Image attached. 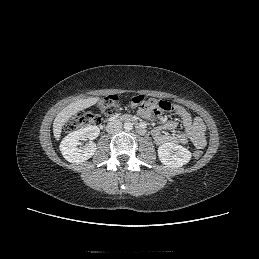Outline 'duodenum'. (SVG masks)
I'll return each mask as SVG.
<instances>
[{
  "label": "duodenum",
  "mask_w": 259,
  "mask_h": 259,
  "mask_svg": "<svg viewBox=\"0 0 259 259\" xmlns=\"http://www.w3.org/2000/svg\"><path fill=\"white\" fill-rule=\"evenodd\" d=\"M110 121H123V122H130L136 124V128L139 134H144L145 129L137 122L136 118L129 114H124L121 116L113 117Z\"/></svg>",
  "instance_id": "duodenum-1"
}]
</instances>
